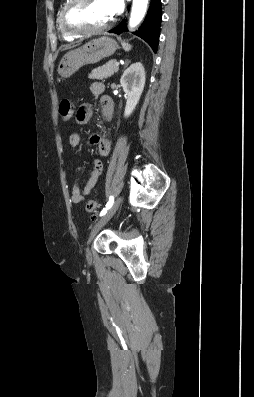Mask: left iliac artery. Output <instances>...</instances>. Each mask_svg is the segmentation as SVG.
<instances>
[{"label": "left iliac artery", "mask_w": 254, "mask_h": 397, "mask_svg": "<svg viewBox=\"0 0 254 397\" xmlns=\"http://www.w3.org/2000/svg\"><path fill=\"white\" fill-rule=\"evenodd\" d=\"M114 199L113 197L109 198L108 203L106 204L105 208L100 212V216H103L106 214V212L110 209V207L113 205Z\"/></svg>", "instance_id": "1"}]
</instances>
